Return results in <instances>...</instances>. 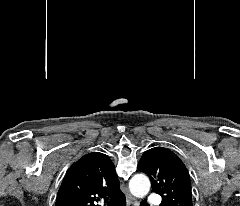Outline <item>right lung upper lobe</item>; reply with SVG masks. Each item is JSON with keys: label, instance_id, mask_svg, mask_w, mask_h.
I'll use <instances>...</instances> for the list:
<instances>
[{"label": "right lung upper lobe", "instance_id": "cb5924a9", "mask_svg": "<svg viewBox=\"0 0 240 206\" xmlns=\"http://www.w3.org/2000/svg\"><path fill=\"white\" fill-rule=\"evenodd\" d=\"M121 194L110 158L92 152L70 167L58 191L55 206H99L96 205L98 201L108 199L112 202Z\"/></svg>", "mask_w": 240, "mask_h": 206}]
</instances>
